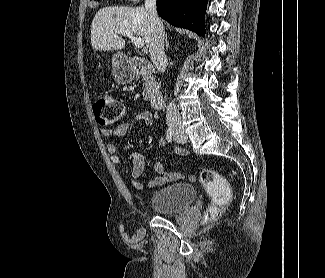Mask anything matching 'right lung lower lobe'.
I'll return each mask as SVG.
<instances>
[{"label":"right lung lower lobe","mask_w":325,"mask_h":278,"mask_svg":"<svg viewBox=\"0 0 325 278\" xmlns=\"http://www.w3.org/2000/svg\"><path fill=\"white\" fill-rule=\"evenodd\" d=\"M207 0H157L159 16L170 24L205 34Z\"/></svg>","instance_id":"98d812e1"}]
</instances>
